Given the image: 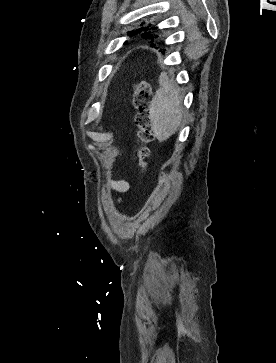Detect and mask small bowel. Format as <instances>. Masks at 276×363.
Returning a JSON list of instances; mask_svg holds the SVG:
<instances>
[{
  "label": "small bowel",
  "mask_w": 276,
  "mask_h": 363,
  "mask_svg": "<svg viewBox=\"0 0 276 363\" xmlns=\"http://www.w3.org/2000/svg\"><path fill=\"white\" fill-rule=\"evenodd\" d=\"M109 185L111 187V189L115 192H119V193H125L128 192L130 189V184L128 181L123 180V179H112L109 182Z\"/></svg>",
  "instance_id": "small-bowel-1"
}]
</instances>
